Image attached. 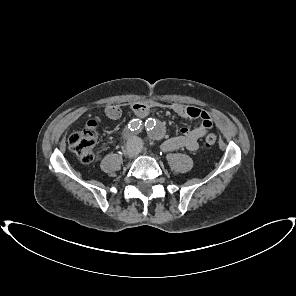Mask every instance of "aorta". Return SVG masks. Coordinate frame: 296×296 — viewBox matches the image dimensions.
I'll use <instances>...</instances> for the list:
<instances>
[{
	"label": "aorta",
	"instance_id": "762f6f07",
	"mask_svg": "<svg viewBox=\"0 0 296 296\" xmlns=\"http://www.w3.org/2000/svg\"><path fill=\"white\" fill-rule=\"evenodd\" d=\"M148 128H149V130H151L152 129V125H148Z\"/></svg>",
	"mask_w": 296,
	"mask_h": 296
}]
</instances>
